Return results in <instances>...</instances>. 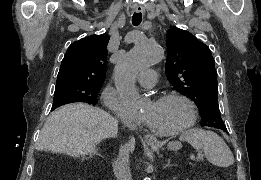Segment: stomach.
I'll list each match as a JSON object with an SVG mask.
<instances>
[{"instance_id":"0dacf381","label":"stomach","mask_w":261,"mask_h":180,"mask_svg":"<svg viewBox=\"0 0 261 180\" xmlns=\"http://www.w3.org/2000/svg\"><path fill=\"white\" fill-rule=\"evenodd\" d=\"M168 148L170 150H177L179 148V144L177 142H170L168 144Z\"/></svg>"}]
</instances>
